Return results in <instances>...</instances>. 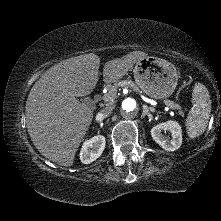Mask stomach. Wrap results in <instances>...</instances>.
I'll return each instance as SVG.
<instances>
[{
	"label": "stomach",
	"instance_id": "stomach-1",
	"mask_svg": "<svg viewBox=\"0 0 221 221\" xmlns=\"http://www.w3.org/2000/svg\"><path fill=\"white\" fill-rule=\"evenodd\" d=\"M134 78L137 85L155 99L170 97L178 82L176 67L155 56H146L136 62Z\"/></svg>",
	"mask_w": 221,
	"mask_h": 221
}]
</instances>
